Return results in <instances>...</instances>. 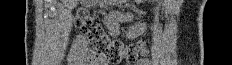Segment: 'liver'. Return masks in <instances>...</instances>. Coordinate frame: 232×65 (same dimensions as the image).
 I'll return each instance as SVG.
<instances>
[{
  "label": "liver",
  "instance_id": "6515ba94",
  "mask_svg": "<svg viewBox=\"0 0 232 65\" xmlns=\"http://www.w3.org/2000/svg\"><path fill=\"white\" fill-rule=\"evenodd\" d=\"M65 2H67V5H70V6H74L75 4H76V0H68V1H65Z\"/></svg>",
  "mask_w": 232,
  "mask_h": 65
}]
</instances>
